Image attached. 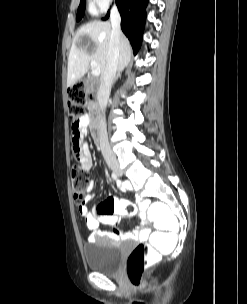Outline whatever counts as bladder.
Segmentation results:
<instances>
[{
    "label": "bladder",
    "mask_w": 247,
    "mask_h": 304,
    "mask_svg": "<svg viewBox=\"0 0 247 304\" xmlns=\"http://www.w3.org/2000/svg\"><path fill=\"white\" fill-rule=\"evenodd\" d=\"M84 256L90 270L115 274L123 258V248L120 242L100 238L84 247Z\"/></svg>",
    "instance_id": "31cf9c89"
}]
</instances>
